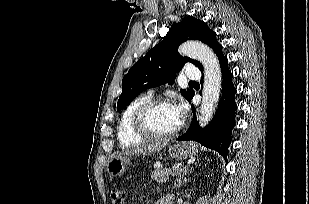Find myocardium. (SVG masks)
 I'll list each match as a JSON object with an SVG mask.
<instances>
[{
  "mask_svg": "<svg viewBox=\"0 0 309 204\" xmlns=\"http://www.w3.org/2000/svg\"><path fill=\"white\" fill-rule=\"evenodd\" d=\"M170 105L174 106V104L165 98H150L143 102L134 112L132 118V128L134 132L142 137L143 139L148 140H165L169 139L180 132L183 127V121L172 131L164 134H157L151 131L146 123V117L148 113L158 107V106H165Z\"/></svg>",
  "mask_w": 309,
  "mask_h": 204,
  "instance_id": "1",
  "label": "myocardium"
}]
</instances>
